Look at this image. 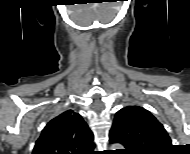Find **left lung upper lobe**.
I'll return each instance as SVG.
<instances>
[{"label": "left lung upper lobe", "instance_id": "5c2ea615", "mask_svg": "<svg viewBox=\"0 0 190 154\" xmlns=\"http://www.w3.org/2000/svg\"><path fill=\"white\" fill-rule=\"evenodd\" d=\"M112 136L128 145L131 154H155L172 147L163 125L140 106H128L116 113Z\"/></svg>", "mask_w": 190, "mask_h": 154}]
</instances>
